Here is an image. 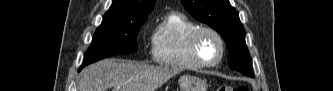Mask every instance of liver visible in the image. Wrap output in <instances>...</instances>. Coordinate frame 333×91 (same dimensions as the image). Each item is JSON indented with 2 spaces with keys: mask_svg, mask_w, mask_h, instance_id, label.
Segmentation results:
<instances>
[{
  "mask_svg": "<svg viewBox=\"0 0 333 91\" xmlns=\"http://www.w3.org/2000/svg\"><path fill=\"white\" fill-rule=\"evenodd\" d=\"M178 72L175 67L104 59L86 67L78 85L79 91H156Z\"/></svg>",
  "mask_w": 333,
  "mask_h": 91,
  "instance_id": "obj_1",
  "label": "liver"
}]
</instances>
